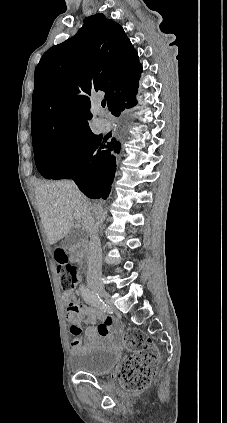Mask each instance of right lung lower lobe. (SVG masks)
Here are the masks:
<instances>
[{
    "label": "right lung lower lobe",
    "instance_id": "obj_1",
    "mask_svg": "<svg viewBox=\"0 0 227 423\" xmlns=\"http://www.w3.org/2000/svg\"><path fill=\"white\" fill-rule=\"evenodd\" d=\"M135 95L128 96L122 102L111 106L112 114L120 116L125 109L135 106ZM103 141H106L105 138ZM119 149L120 143L116 142L115 138L107 144H102V137L95 135L91 146L79 161L76 171L66 179H73L87 197L106 199L116 171L115 153Z\"/></svg>",
    "mask_w": 227,
    "mask_h": 423
}]
</instances>
